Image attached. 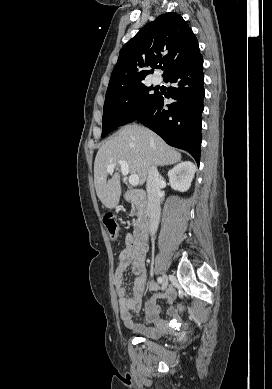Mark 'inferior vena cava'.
Masks as SVG:
<instances>
[{
	"instance_id": "obj_1",
	"label": "inferior vena cava",
	"mask_w": 272,
	"mask_h": 389,
	"mask_svg": "<svg viewBox=\"0 0 272 389\" xmlns=\"http://www.w3.org/2000/svg\"><path fill=\"white\" fill-rule=\"evenodd\" d=\"M147 209L149 216V231L154 235L157 231L160 219V192H161V177L156 165H152L148 171L147 183Z\"/></svg>"
}]
</instances>
